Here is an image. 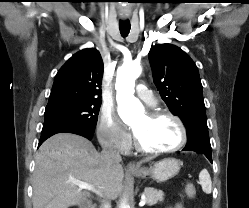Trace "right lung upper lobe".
Here are the masks:
<instances>
[{
  "label": "right lung upper lobe",
  "mask_w": 249,
  "mask_h": 208,
  "mask_svg": "<svg viewBox=\"0 0 249 208\" xmlns=\"http://www.w3.org/2000/svg\"><path fill=\"white\" fill-rule=\"evenodd\" d=\"M103 61L98 50L74 54L58 71L47 107L67 102L101 100Z\"/></svg>",
  "instance_id": "right-lung-upper-lobe-1"
}]
</instances>
